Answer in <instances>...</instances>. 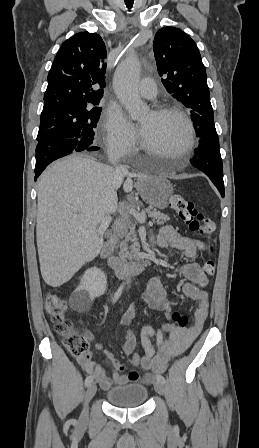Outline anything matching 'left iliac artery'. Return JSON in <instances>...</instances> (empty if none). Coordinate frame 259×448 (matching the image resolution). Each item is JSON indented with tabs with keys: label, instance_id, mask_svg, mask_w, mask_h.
<instances>
[{
	"label": "left iliac artery",
	"instance_id": "1",
	"mask_svg": "<svg viewBox=\"0 0 259 448\" xmlns=\"http://www.w3.org/2000/svg\"><path fill=\"white\" fill-rule=\"evenodd\" d=\"M162 343H163V334H162V332L160 330H158V332H157V346H160ZM156 379H157V381H159V382H161L163 384H165V382H166L165 378L162 375H160V374L156 375Z\"/></svg>",
	"mask_w": 259,
	"mask_h": 448
}]
</instances>
